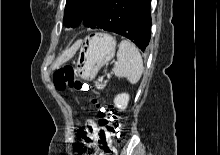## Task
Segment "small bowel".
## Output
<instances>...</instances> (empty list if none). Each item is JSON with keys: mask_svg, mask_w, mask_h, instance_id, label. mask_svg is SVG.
<instances>
[{"mask_svg": "<svg viewBox=\"0 0 220 155\" xmlns=\"http://www.w3.org/2000/svg\"><path fill=\"white\" fill-rule=\"evenodd\" d=\"M85 134L83 135H87V139L89 140V143L87 144V146L91 145L96 137H97V134L99 132V127L96 125V123L92 120H88L85 124Z\"/></svg>", "mask_w": 220, "mask_h": 155, "instance_id": "1", "label": "small bowel"}]
</instances>
